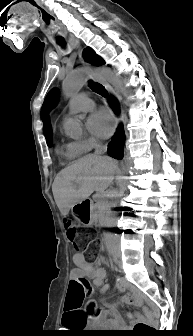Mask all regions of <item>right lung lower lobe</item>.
<instances>
[{"label":"right lung lower lobe","mask_w":193,"mask_h":336,"mask_svg":"<svg viewBox=\"0 0 193 336\" xmlns=\"http://www.w3.org/2000/svg\"><path fill=\"white\" fill-rule=\"evenodd\" d=\"M109 103L115 112L118 111V104L114 98L109 99ZM125 143V133L123 127L120 126L115 135L113 136L112 140L108 144V154L109 156L115 159H122L123 158V147Z\"/></svg>","instance_id":"right-lung-lower-lobe-1"}]
</instances>
